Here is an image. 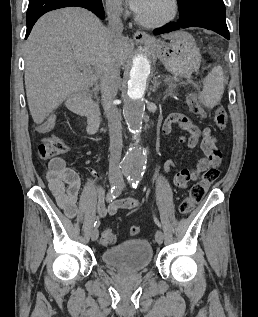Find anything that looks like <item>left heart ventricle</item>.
<instances>
[{
	"instance_id": "1",
	"label": "left heart ventricle",
	"mask_w": 258,
	"mask_h": 317,
	"mask_svg": "<svg viewBox=\"0 0 258 317\" xmlns=\"http://www.w3.org/2000/svg\"><path fill=\"white\" fill-rule=\"evenodd\" d=\"M171 12L170 3L159 0L149 6H146L140 10V14L143 20L148 24H157L162 19L167 17Z\"/></svg>"
}]
</instances>
